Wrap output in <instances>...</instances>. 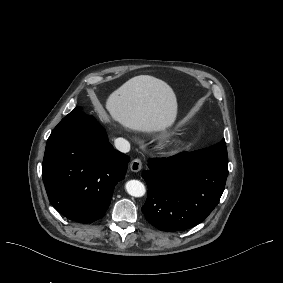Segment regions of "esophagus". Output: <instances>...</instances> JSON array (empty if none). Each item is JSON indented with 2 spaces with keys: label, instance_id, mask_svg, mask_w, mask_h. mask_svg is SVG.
Segmentation results:
<instances>
[{
  "label": "esophagus",
  "instance_id": "1",
  "mask_svg": "<svg viewBox=\"0 0 283 283\" xmlns=\"http://www.w3.org/2000/svg\"><path fill=\"white\" fill-rule=\"evenodd\" d=\"M130 169L133 171V172H138L142 169V162L140 159H134L131 161L130 163Z\"/></svg>",
  "mask_w": 283,
  "mask_h": 283
}]
</instances>
